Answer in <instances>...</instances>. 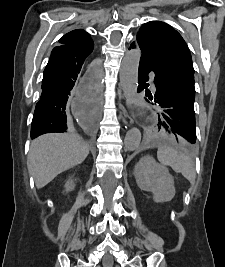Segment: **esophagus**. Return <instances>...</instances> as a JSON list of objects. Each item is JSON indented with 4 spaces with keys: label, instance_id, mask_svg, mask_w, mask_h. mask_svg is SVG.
Segmentation results:
<instances>
[{
    "label": "esophagus",
    "instance_id": "1",
    "mask_svg": "<svg viewBox=\"0 0 225 267\" xmlns=\"http://www.w3.org/2000/svg\"><path fill=\"white\" fill-rule=\"evenodd\" d=\"M120 97H121L123 100H126V96H125V94H124L123 92L120 93ZM120 108H121V110L123 111V113L126 112L124 105L120 104ZM123 122H125V119H124V118H123Z\"/></svg>",
    "mask_w": 225,
    "mask_h": 267
}]
</instances>
